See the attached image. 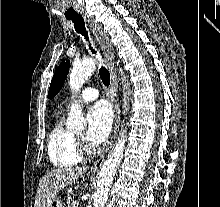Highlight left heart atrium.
<instances>
[{
    "label": "left heart atrium",
    "instance_id": "left-heart-atrium-1",
    "mask_svg": "<svg viewBox=\"0 0 220 207\" xmlns=\"http://www.w3.org/2000/svg\"><path fill=\"white\" fill-rule=\"evenodd\" d=\"M113 112L110 105L105 101L95 103L87 114V132L88 142L97 146L102 144L109 136L112 128Z\"/></svg>",
    "mask_w": 220,
    "mask_h": 207
}]
</instances>
